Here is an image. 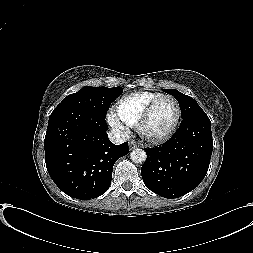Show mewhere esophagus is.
Wrapping results in <instances>:
<instances>
[{
    "mask_svg": "<svg viewBox=\"0 0 253 253\" xmlns=\"http://www.w3.org/2000/svg\"><path fill=\"white\" fill-rule=\"evenodd\" d=\"M139 147V145H137L134 141H130L129 142V148L130 150H133L135 148Z\"/></svg>",
    "mask_w": 253,
    "mask_h": 253,
    "instance_id": "obj_1",
    "label": "esophagus"
}]
</instances>
